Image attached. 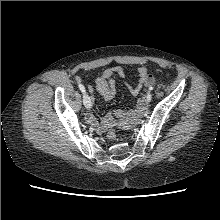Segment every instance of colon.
Returning <instances> with one entry per match:
<instances>
[{"label":"colon","mask_w":220,"mask_h":220,"mask_svg":"<svg viewBox=\"0 0 220 220\" xmlns=\"http://www.w3.org/2000/svg\"><path fill=\"white\" fill-rule=\"evenodd\" d=\"M117 137L116 135V131H115V128L114 127H110L107 131V138L109 140H115Z\"/></svg>","instance_id":"colon-1"}]
</instances>
